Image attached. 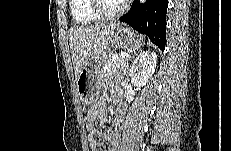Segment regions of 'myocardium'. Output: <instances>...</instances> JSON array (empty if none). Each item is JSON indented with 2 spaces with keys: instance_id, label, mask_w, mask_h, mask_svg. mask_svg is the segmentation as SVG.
Masks as SVG:
<instances>
[{
  "instance_id": "f54148a6",
  "label": "myocardium",
  "mask_w": 231,
  "mask_h": 151,
  "mask_svg": "<svg viewBox=\"0 0 231 151\" xmlns=\"http://www.w3.org/2000/svg\"><path fill=\"white\" fill-rule=\"evenodd\" d=\"M92 11L102 20H114L126 11V4L122 3L115 12H108L104 7V0H92Z\"/></svg>"
}]
</instances>
